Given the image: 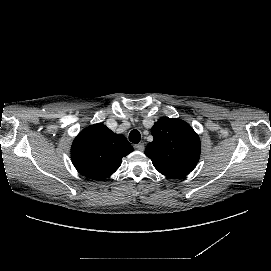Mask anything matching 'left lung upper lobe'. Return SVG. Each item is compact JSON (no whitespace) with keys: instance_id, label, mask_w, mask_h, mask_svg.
I'll return each mask as SVG.
<instances>
[{"instance_id":"1","label":"left lung upper lobe","mask_w":271,"mask_h":271,"mask_svg":"<svg viewBox=\"0 0 271 271\" xmlns=\"http://www.w3.org/2000/svg\"><path fill=\"white\" fill-rule=\"evenodd\" d=\"M151 133L154 140L147 145L145 154L160 173L177 179L195 168L201 143L188 123L163 117L154 124Z\"/></svg>"}]
</instances>
